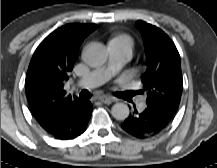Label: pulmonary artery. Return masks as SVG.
Segmentation results:
<instances>
[{"mask_svg": "<svg viewBox=\"0 0 217 168\" xmlns=\"http://www.w3.org/2000/svg\"><path fill=\"white\" fill-rule=\"evenodd\" d=\"M108 52V64L91 71L80 80L79 85L91 88L104 84L120 72L131 58V50L124 43H109ZM138 106L140 109H144L146 107L145 100L142 99Z\"/></svg>", "mask_w": 217, "mask_h": 168, "instance_id": "1", "label": "pulmonary artery"}]
</instances>
